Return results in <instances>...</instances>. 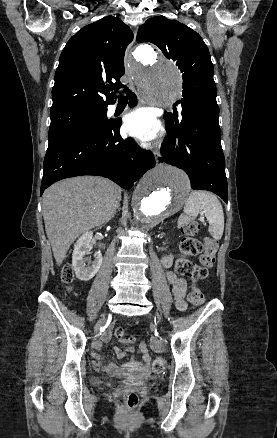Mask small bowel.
Here are the masks:
<instances>
[{
  "instance_id": "c3829d8e",
  "label": "small bowel",
  "mask_w": 277,
  "mask_h": 438,
  "mask_svg": "<svg viewBox=\"0 0 277 438\" xmlns=\"http://www.w3.org/2000/svg\"><path fill=\"white\" fill-rule=\"evenodd\" d=\"M172 262H173V256L171 254L164 256L161 260V263L165 268H170ZM166 277L172 286L177 308L180 310H184L186 307V302H185L186 281L173 271H167ZM103 331H104V336H102L101 341L102 343L107 344L110 341V337H112L113 335L112 332L113 328L110 325H106L104 326ZM93 348L94 350H99L101 348V344L98 342L94 343ZM140 349L143 352L144 363L137 362L134 359H131L129 362L127 360H121V361L111 360L110 365L106 367L98 363H96L94 367L99 370L107 371L108 373L111 374L112 378L115 380L121 377L119 366L124 367L125 372L137 371L140 373H145L148 369L147 363L150 361L151 357L147 352V348L144 343L140 345ZM116 353L120 358H124L126 355V351L120 348L116 349ZM96 357H98V355H96Z\"/></svg>"
}]
</instances>
